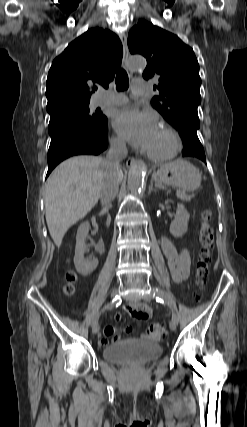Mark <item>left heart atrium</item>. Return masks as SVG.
Segmentation results:
<instances>
[{
    "label": "left heart atrium",
    "instance_id": "left-heart-atrium-1",
    "mask_svg": "<svg viewBox=\"0 0 247 427\" xmlns=\"http://www.w3.org/2000/svg\"><path fill=\"white\" fill-rule=\"evenodd\" d=\"M117 133L136 147L147 149L157 129L152 114L135 108L122 109L113 117Z\"/></svg>",
    "mask_w": 247,
    "mask_h": 427
}]
</instances>
